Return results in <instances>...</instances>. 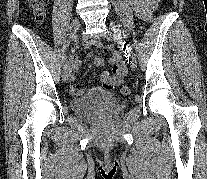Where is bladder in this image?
Instances as JSON below:
<instances>
[{
  "mask_svg": "<svg viewBox=\"0 0 207 179\" xmlns=\"http://www.w3.org/2000/svg\"><path fill=\"white\" fill-rule=\"evenodd\" d=\"M127 102L114 93L92 89L71 102L75 114L86 119L117 117L126 107Z\"/></svg>",
  "mask_w": 207,
  "mask_h": 179,
  "instance_id": "obj_1",
  "label": "bladder"
}]
</instances>
